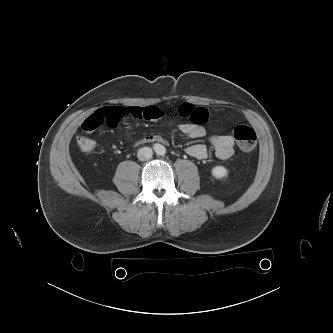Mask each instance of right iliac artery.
<instances>
[{
  "label": "right iliac artery",
  "mask_w": 333,
  "mask_h": 333,
  "mask_svg": "<svg viewBox=\"0 0 333 333\" xmlns=\"http://www.w3.org/2000/svg\"><path fill=\"white\" fill-rule=\"evenodd\" d=\"M158 146V144H154V148H156Z\"/></svg>",
  "instance_id": "obj_1"
}]
</instances>
